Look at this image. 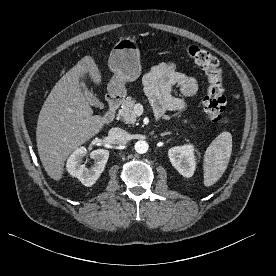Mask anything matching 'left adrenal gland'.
I'll return each instance as SVG.
<instances>
[{
  "label": "left adrenal gland",
  "mask_w": 276,
  "mask_h": 276,
  "mask_svg": "<svg viewBox=\"0 0 276 276\" xmlns=\"http://www.w3.org/2000/svg\"><path fill=\"white\" fill-rule=\"evenodd\" d=\"M171 133L170 132H164L161 134L162 137H164L165 135H170Z\"/></svg>",
  "instance_id": "a2214340"
}]
</instances>
